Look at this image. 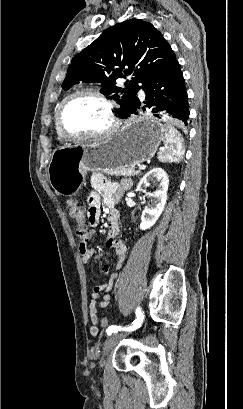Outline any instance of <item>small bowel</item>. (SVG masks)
Returning <instances> with one entry per match:
<instances>
[{
	"label": "small bowel",
	"instance_id": "obj_1",
	"mask_svg": "<svg viewBox=\"0 0 243 409\" xmlns=\"http://www.w3.org/2000/svg\"><path fill=\"white\" fill-rule=\"evenodd\" d=\"M132 181L130 179L122 180L119 183H112L101 176H95L92 181L93 190L88 197L87 219L90 227H96L102 208L109 211V234L106 240V246L113 249L116 255V269L122 268L126 260V246L122 240L118 238L119 228L117 224L118 212L116 204L125 190L130 188ZM94 230H90L84 237L80 238L79 251L82 261L88 264L94 250L89 248L88 242L94 236ZM102 272L108 276V280L102 284L92 288L91 297L89 301V316L91 320L90 333L93 336L99 334L98 323V309L106 307L111 299V290L117 278L116 272H111L107 266L102 268Z\"/></svg>",
	"mask_w": 243,
	"mask_h": 409
}]
</instances>
